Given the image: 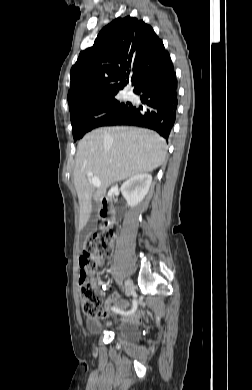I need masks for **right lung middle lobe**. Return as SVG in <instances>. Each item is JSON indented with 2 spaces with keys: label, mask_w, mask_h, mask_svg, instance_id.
<instances>
[{
  "label": "right lung middle lobe",
  "mask_w": 252,
  "mask_h": 390,
  "mask_svg": "<svg viewBox=\"0 0 252 390\" xmlns=\"http://www.w3.org/2000/svg\"><path fill=\"white\" fill-rule=\"evenodd\" d=\"M130 106L131 103H120L113 95L82 104L70 110L74 141L82 138L87 132L96 127L106 126L127 111Z\"/></svg>",
  "instance_id": "obj_1"
}]
</instances>
